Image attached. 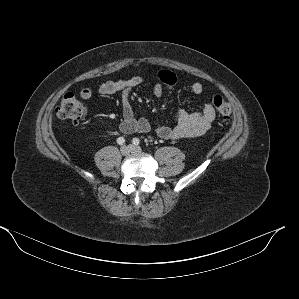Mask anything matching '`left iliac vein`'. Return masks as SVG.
I'll use <instances>...</instances> for the list:
<instances>
[{"label":"left iliac vein","mask_w":299,"mask_h":299,"mask_svg":"<svg viewBox=\"0 0 299 299\" xmlns=\"http://www.w3.org/2000/svg\"><path fill=\"white\" fill-rule=\"evenodd\" d=\"M130 150L132 153H139L141 152V148L139 146L129 145Z\"/></svg>","instance_id":"obj_1"}]
</instances>
